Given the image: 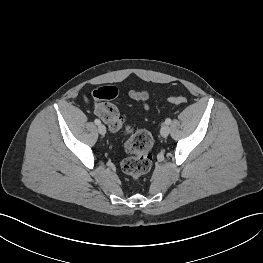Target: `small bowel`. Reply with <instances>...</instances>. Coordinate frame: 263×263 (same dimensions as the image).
I'll use <instances>...</instances> for the list:
<instances>
[{
    "label": "small bowel",
    "instance_id": "obj_1",
    "mask_svg": "<svg viewBox=\"0 0 263 263\" xmlns=\"http://www.w3.org/2000/svg\"><path fill=\"white\" fill-rule=\"evenodd\" d=\"M130 96L132 99H134L136 102L141 103L144 108H148V98L149 95L146 91L141 90V91H131Z\"/></svg>",
    "mask_w": 263,
    "mask_h": 263
}]
</instances>
